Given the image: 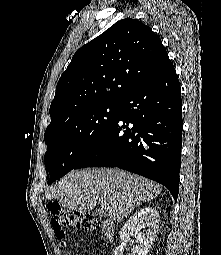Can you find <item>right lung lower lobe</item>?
Returning <instances> with one entry per match:
<instances>
[{"label": "right lung lower lobe", "mask_w": 221, "mask_h": 255, "mask_svg": "<svg viewBox=\"0 0 221 255\" xmlns=\"http://www.w3.org/2000/svg\"><path fill=\"white\" fill-rule=\"evenodd\" d=\"M119 104L113 124L74 169H125L164 185L176 201L182 101L178 76L169 58Z\"/></svg>", "instance_id": "right-lung-lower-lobe-1"}]
</instances>
